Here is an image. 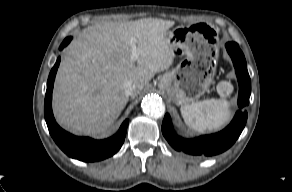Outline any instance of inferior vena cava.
I'll return each mask as SVG.
<instances>
[{
    "label": "inferior vena cava",
    "instance_id": "inferior-vena-cava-1",
    "mask_svg": "<svg viewBox=\"0 0 292 192\" xmlns=\"http://www.w3.org/2000/svg\"><path fill=\"white\" fill-rule=\"evenodd\" d=\"M135 89H136L135 84L130 80H126L122 84V90L124 91L126 96L133 95L135 92Z\"/></svg>",
    "mask_w": 292,
    "mask_h": 192
}]
</instances>
